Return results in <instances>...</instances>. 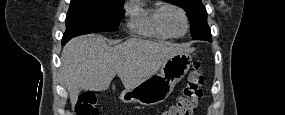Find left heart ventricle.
Instances as JSON below:
<instances>
[{
    "label": "left heart ventricle",
    "mask_w": 285,
    "mask_h": 115,
    "mask_svg": "<svg viewBox=\"0 0 285 115\" xmlns=\"http://www.w3.org/2000/svg\"><path fill=\"white\" fill-rule=\"evenodd\" d=\"M166 23L175 34H180L184 31L185 24L181 13L177 10H168L165 14Z\"/></svg>",
    "instance_id": "obj_1"
}]
</instances>
